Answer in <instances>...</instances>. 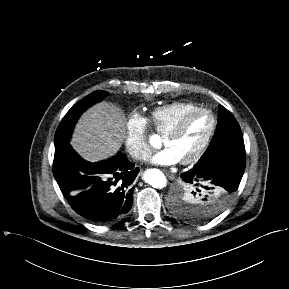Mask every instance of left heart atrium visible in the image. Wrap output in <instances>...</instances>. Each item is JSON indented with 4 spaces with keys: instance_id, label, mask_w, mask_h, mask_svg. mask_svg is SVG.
<instances>
[{
    "instance_id": "1",
    "label": "left heart atrium",
    "mask_w": 289,
    "mask_h": 289,
    "mask_svg": "<svg viewBox=\"0 0 289 289\" xmlns=\"http://www.w3.org/2000/svg\"><path fill=\"white\" fill-rule=\"evenodd\" d=\"M180 158L178 155L169 147L155 153L151 158L150 162L161 166H170L178 163Z\"/></svg>"
}]
</instances>
